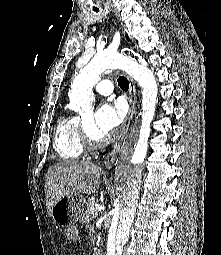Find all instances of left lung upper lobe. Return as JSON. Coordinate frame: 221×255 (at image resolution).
<instances>
[{
	"mask_svg": "<svg viewBox=\"0 0 221 255\" xmlns=\"http://www.w3.org/2000/svg\"><path fill=\"white\" fill-rule=\"evenodd\" d=\"M127 40H129L128 36H126Z\"/></svg>",
	"mask_w": 221,
	"mask_h": 255,
	"instance_id": "obj_1",
	"label": "left lung upper lobe"
}]
</instances>
